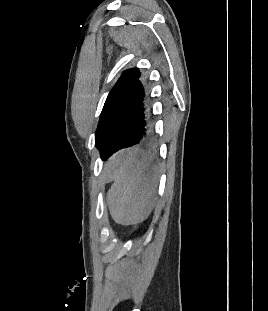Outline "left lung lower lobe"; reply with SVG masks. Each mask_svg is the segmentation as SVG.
Instances as JSON below:
<instances>
[{"mask_svg": "<svg viewBox=\"0 0 268 311\" xmlns=\"http://www.w3.org/2000/svg\"><path fill=\"white\" fill-rule=\"evenodd\" d=\"M126 104L119 116L120 123L102 160H107L117 151L128 148L130 144H137L139 148L147 141H153L155 138L152 134L154 118L148 83L142 75L135 83Z\"/></svg>", "mask_w": 268, "mask_h": 311, "instance_id": "1", "label": "left lung lower lobe"}]
</instances>
